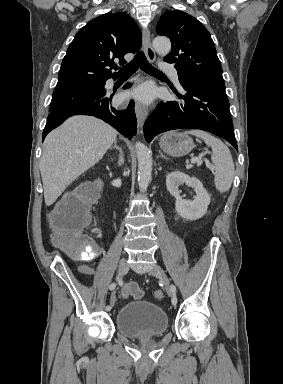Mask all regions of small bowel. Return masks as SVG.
I'll return each instance as SVG.
<instances>
[{"instance_id": "c3829d8e", "label": "small bowel", "mask_w": 283, "mask_h": 384, "mask_svg": "<svg viewBox=\"0 0 283 384\" xmlns=\"http://www.w3.org/2000/svg\"><path fill=\"white\" fill-rule=\"evenodd\" d=\"M79 270L83 275H86V276H90L94 273V270L91 267L86 266V265L80 266ZM127 285H136V284L135 283H129Z\"/></svg>"}]
</instances>
